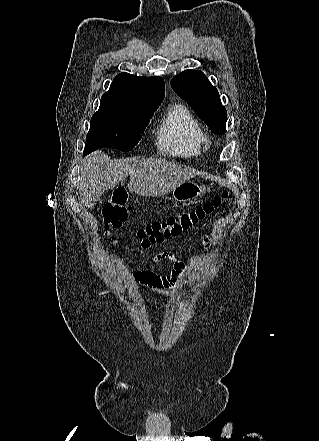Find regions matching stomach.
Returning a JSON list of instances; mask_svg holds the SVG:
<instances>
[{
  "label": "stomach",
  "instance_id": "1",
  "mask_svg": "<svg viewBox=\"0 0 319 441\" xmlns=\"http://www.w3.org/2000/svg\"><path fill=\"white\" fill-rule=\"evenodd\" d=\"M210 192V185H199L187 180L172 190V200L178 203H188Z\"/></svg>",
  "mask_w": 319,
  "mask_h": 441
}]
</instances>
